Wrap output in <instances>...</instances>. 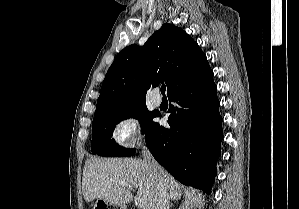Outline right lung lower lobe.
Returning <instances> with one entry per match:
<instances>
[{
	"label": "right lung lower lobe",
	"mask_w": 299,
	"mask_h": 209,
	"mask_svg": "<svg viewBox=\"0 0 299 209\" xmlns=\"http://www.w3.org/2000/svg\"><path fill=\"white\" fill-rule=\"evenodd\" d=\"M170 129L153 122L146 144L157 160L178 181L210 193L223 138L217 87L213 71L190 78L168 93Z\"/></svg>",
	"instance_id": "1"
}]
</instances>
